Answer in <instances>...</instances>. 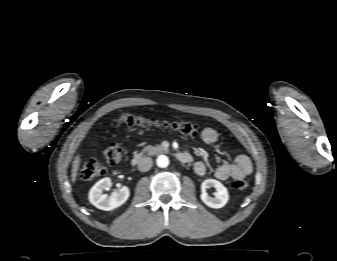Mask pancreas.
Segmentation results:
<instances>
[{
  "label": "pancreas",
  "mask_w": 337,
  "mask_h": 261,
  "mask_svg": "<svg viewBox=\"0 0 337 261\" xmlns=\"http://www.w3.org/2000/svg\"><path fill=\"white\" fill-rule=\"evenodd\" d=\"M167 152V149L163 148L162 146H146L143 150L142 153H148L149 155H155L158 153H163Z\"/></svg>",
  "instance_id": "pancreas-1"
}]
</instances>
